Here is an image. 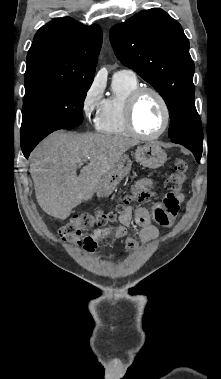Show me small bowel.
<instances>
[{
    "label": "small bowel",
    "mask_w": 221,
    "mask_h": 379,
    "mask_svg": "<svg viewBox=\"0 0 221 379\" xmlns=\"http://www.w3.org/2000/svg\"><path fill=\"white\" fill-rule=\"evenodd\" d=\"M157 183L150 178H142L135 183L133 198L138 201L147 200L150 192L156 189ZM183 202V195L180 190H167L164 200L152 208V214L144 207L133 210L127 207L120 215L118 225H105L99 227L90 236L84 248L88 252H93L104 239L125 238L126 246L130 251L138 249L139 244H147L159 236L158 228L152 223L154 221L164 227L170 226ZM135 227L138 240L131 234V229Z\"/></svg>",
    "instance_id": "small-bowel-1"
}]
</instances>
